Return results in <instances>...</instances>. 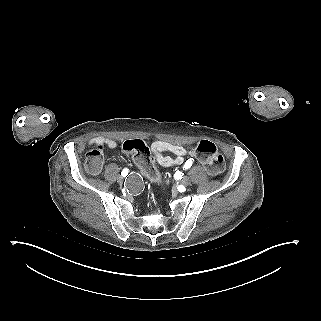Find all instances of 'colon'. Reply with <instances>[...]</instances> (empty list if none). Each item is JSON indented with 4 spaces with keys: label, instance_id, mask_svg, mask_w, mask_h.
Masks as SVG:
<instances>
[{
    "label": "colon",
    "instance_id": "5ec220e1",
    "mask_svg": "<svg viewBox=\"0 0 321 321\" xmlns=\"http://www.w3.org/2000/svg\"><path fill=\"white\" fill-rule=\"evenodd\" d=\"M122 149L133 154L134 160L145 176L153 183H160V175L150 158L149 149L139 139L128 140ZM192 154L203 164L210 175H217L225 168V160L216 145L208 140H202L192 147ZM103 163V144H96L87 154L85 166L91 174L99 173Z\"/></svg>",
    "mask_w": 321,
    "mask_h": 321
}]
</instances>
